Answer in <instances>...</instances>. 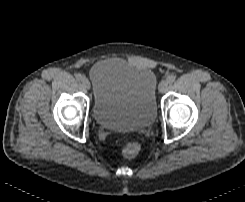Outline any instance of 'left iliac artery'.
Returning <instances> with one entry per match:
<instances>
[{
	"instance_id": "left-iliac-artery-1",
	"label": "left iliac artery",
	"mask_w": 245,
	"mask_h": 202,
	"mask_svg": "<svg viewBox=\"0 0 245 202\" xmlns=\"http://www.w3.org/2000/svg\"><path fill=\"white\" fill-rule=\"evenodd\" d=\"M166 80H167L168 83H173L175 81V76L174 75H169Z\"/></svg>"
}]
</instances>
